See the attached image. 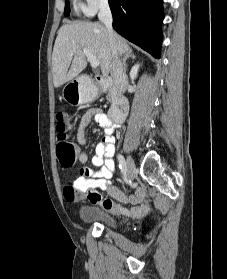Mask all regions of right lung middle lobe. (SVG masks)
Segmentation results:
<instances>
[{
	"label": "right lung middle lobe",
	"mask_w": 227,
	"mask_h": 279,
	"mask_svg": "<svg viewBox=\"0 0 227 279\" xmlns=\"http://www.w3.org/2000/svg\"><path fill=\"white\" fill-rule=\"evenodd\" d=\"M69 14H70V4H69V1L66 0V1H65L64 15H65V16H69Z\"/></svg>",
	"instance_id": "dd1d6c3e"
}]
</instances>
